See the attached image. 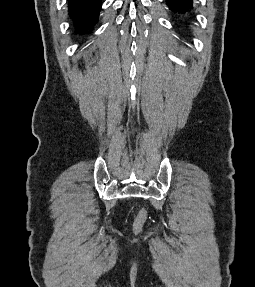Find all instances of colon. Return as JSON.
Here are the masks:
<instances>
[{
	"instance_id": "5ec220e1",
	"label": "colon",
	"mask_w": 255,
	"mask_h": 287,
	"mask_svg": "<svg viewBox=\"0 0 255 287\" xmlns=\"http://www.w3.org/2000/svg\"><path fill=\"white\" fill-rule=\"evenodd\" d=\"M147 211L145 209H141L138 214L136 215V217L134 218V221H133V232L134 234H139L146 221H147Z\"/></svg>"
}]
</instances>
